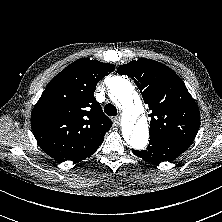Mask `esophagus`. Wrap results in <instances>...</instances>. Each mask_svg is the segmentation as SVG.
<instances>
[{
    "label": "esophagus",
    "instance_id": "esophagus-1",
    "mask_svg": "<svg viewBox=\"0 0 222 222\" xmlns=\"http://www.w3.org/2000/svg\"><path fill=\"white\" fill-rule=\"evenodd\" d=\"M120 121H121V117H120V116H117V117L114 118V123H115L116 125H119V124H120Z\"/></svg>",
    "mask_w": 222,
    "mask_h": 222
}]
</instances>
